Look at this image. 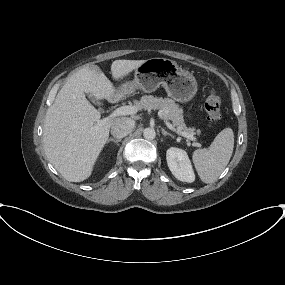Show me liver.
Returning <instances> with one entry per match:
<instances>
[{
  "label": "liver",
  "instance_id": "liver-1",
  "mask_svg": "<svg viewBox=\"0 0 285 285\" xmlns=\"http://www.w3.org/2000/svg\"><path fill=\"white\" fill-rule=\"evenodd\" d=\"M145 60H115L112 77L120 80ZM124 94L134 92L126 84ZM114 96L115 87L97 65H87L73 74L58 92L48 108L43 127V146L46 157L55 169L70 182L89 178L93 167L108 140L114 120L100 119L101 114L86 99Z\"/></svg>",
  "mask_w": 285,
  "mask_h": 285
}]
</instances>
